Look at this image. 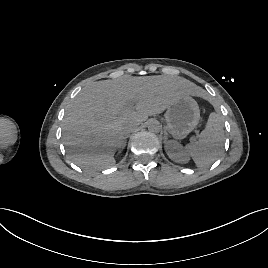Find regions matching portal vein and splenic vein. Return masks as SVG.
Here are the masks:
<instances>
[{
    "mask_svg": "<svg viewBox=\"0 0 268 268\" xmlns=\"http://www.w3.org/2000/svg\"><path fill=\"white\" fill-rule=\"evenodd\" d=\"M134 108V104L133 103H130L126 108H125V111H130Z\"/></svg>",
    "mask_w": 268,
    "mask_h": 268,
    "instance_id": "1",
    "label": "portal vein and splenic vein"
}]
</instances>
